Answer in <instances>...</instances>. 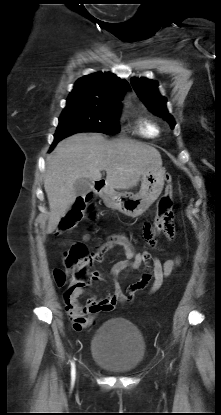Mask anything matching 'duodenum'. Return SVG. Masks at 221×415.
I'll use <instances>...</instances> for the list:
<instances>
[{
	"label": "duodenum",
	"instance_id": "duodenum-1",
	"mask_svg": "<svg viewBox=\"0 0 221 415\" xmlns=\"http://www.w3.org/2000/svg\"><path fill=\"white\" fill-rule=\"evenodd\" d=\"M106 190V183L104 180H98L94 183V191L97 194H103Z\"/></svg>",
	"mask_w": 221,
	"mask_h": 415
}]
</instances>
